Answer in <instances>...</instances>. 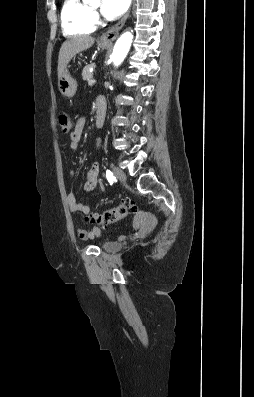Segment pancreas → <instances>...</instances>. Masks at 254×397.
<instances>
[{"label": "pancreas", "mask_w": 254, "mask_h": 397, "mask_svg": "<svg viewBox=\"0 0 254 397\" xmlns=\"http://www.w3.org/2000/svg\"><path fill=\"white\" fill-rule=\"evenodd\" d=\"M92 67H94V64L91 63V64L86 65V66L83 68V71H82L83 80L89 81L90 79H92L93 73L90 72V69H91Z\"/></svg>", "instance_id": "obj_1"}]
</instances>
